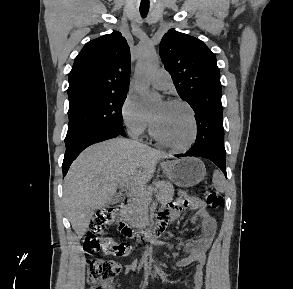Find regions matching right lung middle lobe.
<instances>
[{
  "label": "right lung middle lobe",
  "mask_w": 293,
  "mask_h": 289,
  "mask_svg": "<svg viewBox=\"0 0 293 289\" xmlns=\"http://www.w3.org/2000/svg\"><path fill=\"white\" fill-rule=\"evenodd\" d=\"M127 93L80 97L69 101V126L65 142L88 131L123 126L122 106Z\"/></svg>",
  "instance_id": "obj_1"
}]
</instances>
